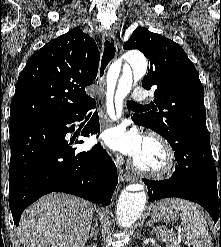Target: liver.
<instances>
[{
  "label": "liver",
  "mask_w": 221,
  "mask_h": 247,
  "mask_svg": "<svg viewBox=\"0 0 221 247\" xmlns=\"http://www.w3.org/2000/svg\"><path fill=\"white\" fill-rule=\"evenodd\" d=\"M94 211L76 196L48 194L23 212L19 240L23 247H85Z\"/></svg>",
  "instance_id": "obj_1"
}]
</instances>
